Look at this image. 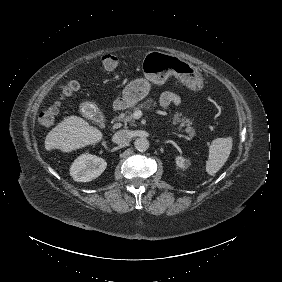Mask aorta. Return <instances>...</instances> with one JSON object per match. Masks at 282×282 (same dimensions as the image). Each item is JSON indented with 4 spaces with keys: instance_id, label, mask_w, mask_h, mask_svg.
<instances>
[{
    "instance_id": "1",
    "label": "aorta",
    "mask_w": 282,
    "mask_h": 282,
    "mask_svg": "<svg viewBox=\"0 0 282 282\" xmlns=\"http://www.w3.org/2000/svg\"><path fill=\"white\" fill-rule=\"evenodd\" d=\"M134 147L138 151H145L149 148V141L146 138H137L134 141Z\"/></svg>"
}]
</instances>
